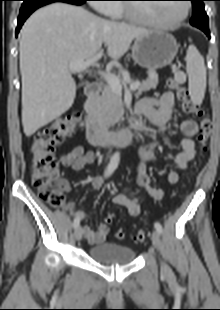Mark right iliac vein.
Here are the masks:
<instances>
[{
    "instance_id": "1",
    "label": "right iliac vein",
    "mask_w": 220,
    "mask_h": 310,
    "mask_svg": "<svg viewBox=\"0 0 220 310\" xmlns=\"http://www.w3.org/2000/svg\"><path fill=\"white\" fill-rule=\"evenodd\" d=\"M83 236V228L81 226H78L75 230V239L77 241H80Z\"/></svg>"
}]
</instances>
